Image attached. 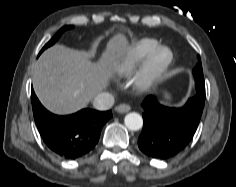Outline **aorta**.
I'll list each match as a JSON object with an SVG mask.
<instances>
[{
  "label": "aorta",
  "mask_w": 236,
  "mask_h": 187,
  "mask_svg": "<svg viewBox=\"0 0 236 187\" xmlns=\"http://www.w3.org/2000/svg\"><path fill=\"white\" fill-rule=\"evenodd\" d=\"M125 126L132 131H137L143 126L142 116L136 112L128 113L124 118Z\"/></svg>",
  "instance_id": "762f6f07"
}]
</instances>
